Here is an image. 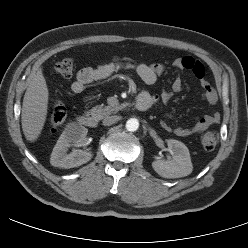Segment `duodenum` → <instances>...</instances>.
I'll return each mask as SVG.
<instances>
[{
  "instance_id": "410a0bca",
  "label": "duodenum",
  "mask_w": 248,
  "mask_h": 248,
  "mask_svg": "<svg viewBox=\"0 0 248 248\" xmlns=\"http://www.w3.org/2000/svg\"><path fill=\"white\" fill-rule=\"evenodd\" d=\"M151 107L149 95L142 93L136 102V108L139 111H146ZM79 124L87 128H95L97 126V119L92 115L79 116Z\"/></svg>"
}]
</instances>
